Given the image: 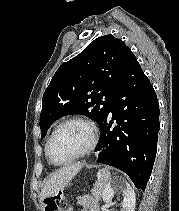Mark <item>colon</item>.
I'll list each match as a JSON object with an SVG mask.
<instances>
[{"mask_svg": "<svg viewBox=\"0 0 179 211\" xmlns=\"http://www.w3.org/2000/svg\"><path fill=\"white\" fill-rule=\"evenodd\" d=\"M45 211H61L65 205V198L61 192L55 193L44 199Z\"/></svg>", "mask_w": 179, "mask_h": 211, "instance_id": "5ec220e1", "label": "colon"}]
</instances>
